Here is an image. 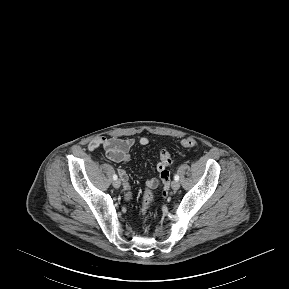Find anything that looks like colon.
I'll use <instances>...</instances> for the list:
<instances>
[{
	"label": "colon",
	"mask_w": 289,
	"mask_h": 289,
	"mask_svg": "<svg viewBox=\"0 0 289 289\" xmlns=\"http://www.w3.org/2000/svg\"><path fill=\"white\" fill-rule=\"evenodd\" d=\"M180 145L184 148H193L196 146V141L192 137H185L180 141ZM172 162L171 155L166 148H162L159 153V163L170 165ZM160 174V173H159ZM152 193L149 189H145L142 200V211L147 215L152 207Z\"/></svg>",
	"instance_id": "5ec220e1"
}]
</instances>
